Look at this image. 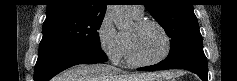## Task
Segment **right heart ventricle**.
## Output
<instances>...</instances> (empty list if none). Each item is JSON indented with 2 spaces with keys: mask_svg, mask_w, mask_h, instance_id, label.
I'll return each instance as SVG.
<instances>
[{
  "mask_svg": "<svg viewBox=\"0 0 237 81\" xmlns=\"http://www.w3.org/2000/svg\"><path fill=\"white\" fill-rule=\"evenodd\" d=\"M133 17L137 20H139L142 16H134ZM123 36V39H124V43H125V51H124V54H125V57L127 59V61H130V58H129V54H128V50H127V44H126V36L125 35H122Z\"/></svg>",
  "mask_w": 237,
  "mask_h": 81,
  "instance_id": "e07e8e85",
  "label": "right heart ventricle"
}]
</instances>
